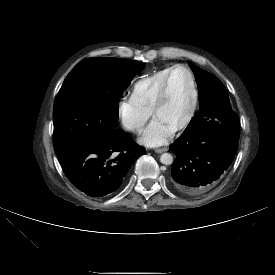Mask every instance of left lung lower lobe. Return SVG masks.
Returning <instances> with one entry per match:
<instances>
[{"label": "left lung lower lobe", "instance_id": "1", "mask_svg": "<svg viewBox=\"0 0 275 275\" xmlns=\"http://www.w3.org/2000/svg\"><path fill=\"white\" fill-rule=\"evenodd\" d=\"M239 138L225 131L180 136L170 145L176 155L172 183L181 192L197 195L211 189L231 165Z\"/></svg>", "mask_w": 275, "mask_h": 275}]
</instances>
